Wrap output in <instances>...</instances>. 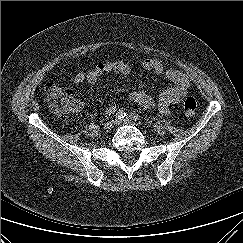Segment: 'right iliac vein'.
<instances>
[{
  "instance_id": "63e3f726",
  "label": "right iliac vein",
  "mask_w": 243,
  "mask_h": 243,
  "mask_svg": "<svg viewBox=\"0 0 243 243\" xmlns=\"http://www.w3.org/2000/svg\"><path fill=\"white\" fill-rule=\"evenodd\" d=\"M114 124H115L114 120H110V121L106 122L104 125V130L110 131L114 127Z\"/></svg>"
}]
</instances>
